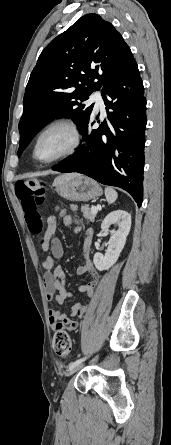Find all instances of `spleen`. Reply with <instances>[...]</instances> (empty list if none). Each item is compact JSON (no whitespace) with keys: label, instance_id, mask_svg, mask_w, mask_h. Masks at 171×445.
Returning <instances> with one entry per match:
<instances>
[{"label":"spleen","instance_id":"obj_1","mask_svg":"<svg viewBox=\"0 0 171 445\" xmlns=\"http://www.w3.org/2000/svg\"><path fill=\"white\" fill-rule=\"evenodd\" d=\"M105 197H106L107 202L109 204H112L116 201L118 194L113 188L106 187L105 188Z\"/></svg>","mask_w":171,"mask_h":445}]
</instances>
